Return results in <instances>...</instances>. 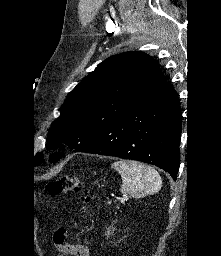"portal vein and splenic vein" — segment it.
<instances>
[{"instance_id": "obj_1", "label": "portal vein and splenic vein", "mask_w": 221, "mask_h": 256, "mask_svg": "<svg viewBox=\"0 0 221 256\" xmlns=\"http://www.w3.org/2000/svg\"><path fill=\"white\" fill-rule=\"evenodd\" d=\"M125 200H128V197H127V196H123V197L120 198V201H121V202H124Z\"/></svg>"}]
</instances>
